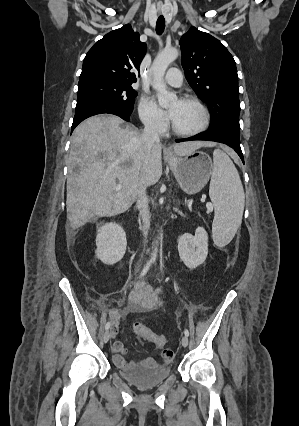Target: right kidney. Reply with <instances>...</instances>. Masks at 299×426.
I'll return each instance as SVG.
<instances>
[{
	"mask_svg": "<svg viewBox=\"0 0 299 426\" xmlns=\"http://www.w3.org/2000/svg\"><path fill=\"white\" fill-rule=\"evenodd\" d=\"M96 257L106 265L119 262L126 251L127 240L123 228L116 223H106L97 228Z\"/></svg>",
	"mask_w": 299,
	"mask_h": 426,
	"instance_id": "obj_1",
	"label": "right kidney"
}]
</instances>
